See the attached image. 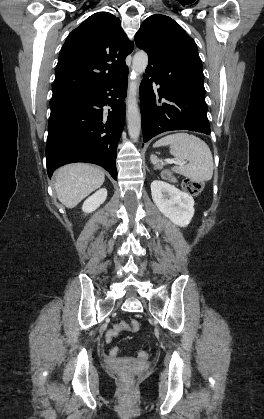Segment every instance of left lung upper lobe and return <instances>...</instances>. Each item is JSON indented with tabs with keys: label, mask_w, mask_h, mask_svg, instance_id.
Here are the masks:
<instances>
[{
	"label": "left lung upper lobe",
	"mask_w": 264,
	"mask_h": 419,
	"mask_svg": "<svg viewBox=\"0 0 264 419\" xmlns=\"http://www.w3.org/2000/svg\"><path fill=\"white\" fill-rule=\"evenodd\" d=\"M135 43L149 55L146 70L166 81H182L188 88L203 84L202 62L194 40L168 16L148 17L135 35Z\"/></svg>",
	"instance_id": "5c2ea615"
}]
</instances>
